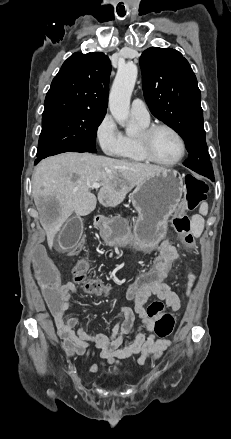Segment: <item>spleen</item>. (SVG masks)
Here are the masks:
<instances>
[{
    "label": "spleen",
    "instance_id": "spleen-1",
    "mask_svg": "<svg viewBox=\"0 0 231 439\" xmlns=\"http://www.w3.org/2000/svg\"><path fill=\"white\" fill-rule=\"evenodd\" d=\"M199 215H194L191 220V229L195 237H199L204 230V218L208 213V204L203 202L199 208Z\"/></svg>",
    "mask_w": 231,
    "mask_h": 439
}]
</instances>
